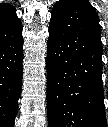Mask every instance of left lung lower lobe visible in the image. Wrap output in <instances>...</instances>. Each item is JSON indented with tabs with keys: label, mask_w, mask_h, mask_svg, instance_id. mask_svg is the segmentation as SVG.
I'll return each instance as SVG.
<instances>
[{
	"label": "left lung lower lobe",
	"mask_w": 108,
	"mask_h": 127,
	"mask_svg": "<svg viewBox=\"0 0 108 127\" xmlns=\"http://www.w3.org/2000/svg\"><path fill=\"white\" fill-rule=\"evenodd\" d=\"M47 71L49 127H107L101 30L87 0H59L54 5Z\"/></svg>",
	"instance_id": "1"
}]
</instances>
